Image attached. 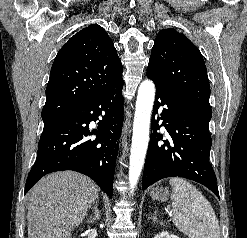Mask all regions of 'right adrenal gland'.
Segmentation results:
<instances>
[{"instance_id":"2a0ac1e0","label":"right adrenal gland","mask_w":247,"mask_h":238,"mask_svg":"<svg viewBox=\"0 0 247 238\" xmlns=\"http://www.w3.org/2000/svg\"><path fill=\"white\" fill-rule=\"evenodd\" d=\"M93 211H94V215L93 216H90L89 218H88V223L90 224V223H93V222H95V221H97V220H99L100 219V217H101V212H100V210H99V208H98V203L96 202V204L94 205V207H93Z\"/></svg>"}]
</instances>
